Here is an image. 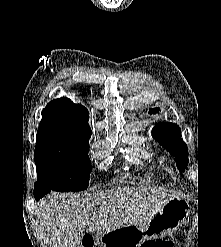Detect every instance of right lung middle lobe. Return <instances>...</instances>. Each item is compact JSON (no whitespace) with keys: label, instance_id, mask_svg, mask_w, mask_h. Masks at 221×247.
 Returning <instances> with one entry per match:
<instances>
[{"label":"right lung middle lobe","instance_id":"1","mask_svg":"<svg viewBox=\"0 0 221 247\" xmlns=\"http://www.w3.org/2000/svg\"><path fill=\"white\" fill-rule=\"evenodd\" d=\"M88 151V137L63 131L38 130L36 183L59 192L85 190L92 171Z\"/></svg>","mask_w":221,"mask_h":247}]
</instances>
